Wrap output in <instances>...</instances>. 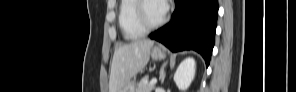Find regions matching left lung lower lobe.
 Returning a JSON list of instances; mask_svg holds the SVG:
<instances>
[{"instance_id": "0a47b994", "label": "left lung lower lobe", "mask_w": 296, "mask_h": 92, "mask_svg": "<svg viewBox=\"0 0 296 92\" xmlns=\"http://www.w3.org/2000/svg\"><path fill=\"white\" fill-rule=\"evenodd\" d=\"M172 20L151 33L171 51L195 50L209 65L218 15V0H176Z\"/></svg>"}]
</instances>
